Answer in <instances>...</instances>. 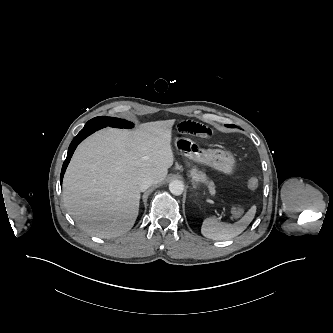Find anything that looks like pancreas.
<instances>
[{"label": "pancreas", "instance_id": "1", "mask_svg": "<svg viewBox=\"0 0 333 333\" xmlns=\"http://www.w3.org/2000/svg\"><path fill=\"white\" fill-rule=\"evenodd\" d=\"M191 175H192L193 180L202 181L205 184H207V186L209 188V192H210L211 195L215 194L214 183L212 181L207 180V177L203 172L198 171L196 168H194V169L191 170Z\"/></svg>", "mask_w": 333, "mask_h": 333}]
</instances>
